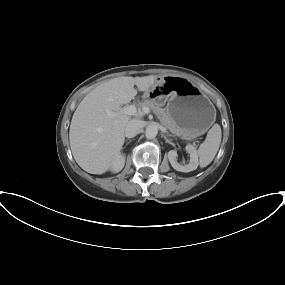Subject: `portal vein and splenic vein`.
I'll use <instances>...</instances> for the list:
<instances>
[{
    "label": "portal vein and splenic vein",
    "mask_w": 285,
    "mask_h": 285,
    "mask_svg": "<svg viewBox=\"0 0 285 285\" xmlns=\"http://www.w3.org/2000/svg\"><path fill=\"white\" fill-rule=\"evenodd\" d=\"M149 112H150V110L147 107H144L142 109V112H138L136 106L128 105V106H125L124 108L121 109L120 114H125V115H129V116H142L143 114H148ZM107 114L111 117L115 116V113H113L111 111H107Z\"/></svg>",
    "instance_id": "1"
}]
</instances>
